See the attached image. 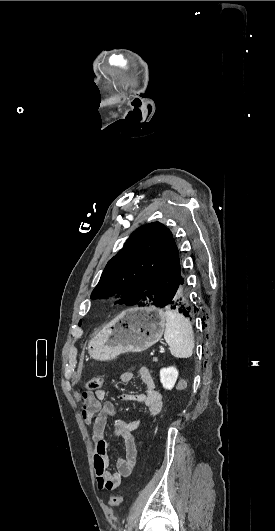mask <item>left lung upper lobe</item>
Listing matches in <instances>:
<instances>
[{"mask_svg":"<svg viewBox=\"0 0 275 531\" xmlns=\"http://www.w3.org/2000/svg\"><path fill=\"white\" fill-rule=\"evenodd\" d=\"M182 279L171 231L159 222L139 227L107 263L92 299L164 307Z\"/></svg>","mask_w":275,"mask_h":531,"instance_id":"obj_1","label":"left lung upper lobe"}]
</instances>
